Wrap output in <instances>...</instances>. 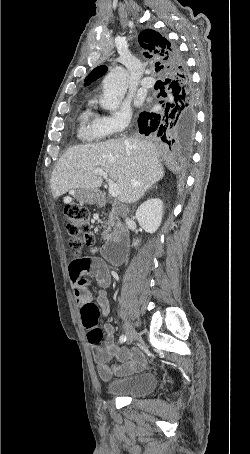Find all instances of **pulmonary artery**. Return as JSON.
I'll list each match as a JSON object with an SVG mask.
<instances>
[{
	"label": "pulmonary artery",
	"mask_w": 250,
	"mask_h": 454,
	"mask_svg": "<svg viewBox=\"0 0 250 454\" xmlns=\"http://www.w3.org/2000/svg\"><path fill=\"white\" fill-rule=\"evenodd\" d=\"M155 84V79L152 77H145L141 80V86L142 87H152Z\"/></svg>",
	"instance_id": "1"
}]
</instances>
